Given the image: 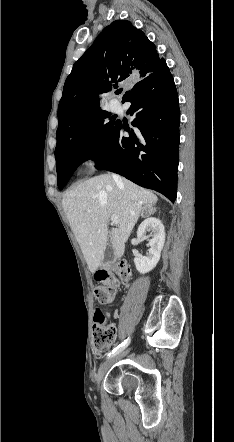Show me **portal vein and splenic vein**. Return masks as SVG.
Instances as JSON below:
<instances>
[{"label": "portal vein and splenic vein", "mask_w": 234, "mask_h": 442, "mask_svg": "<svg viewBox=\"0 0 234 442\" xmlns=\"http://www.w3.org/2000/svg\"><path fill=\"white\" fill-rule=\"evenodd\" d=\"M111 222H112V224L118 225L119 224L118 217L116 215H112Z\"/></svg>", "instance_id": "portal-vein-and-splenic-vein-1"}]
</instances>
